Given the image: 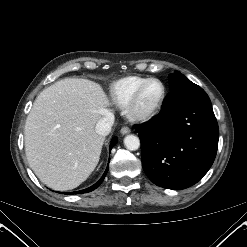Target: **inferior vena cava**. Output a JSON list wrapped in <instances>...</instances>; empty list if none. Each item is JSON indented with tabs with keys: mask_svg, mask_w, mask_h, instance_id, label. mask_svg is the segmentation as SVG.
<instances>
[{
	"mask_svg": "<svg viewBox=\"0 0 247 247\" xmlns=\"http://www.w3.org/2000/svg\"><path fill=\"white\" fill-rule=\"evenodd\" d=\"M114 123V115L112 113H108L105 117L100 119L95 127V131L97 134L101 136H106L110 133L111 127Z\"/></svg>",
	"mask_w": 247,
	"mask_h": 247,
	"instance_id": "1",
	"label": "inferior vena cava"
}]
</instances>
